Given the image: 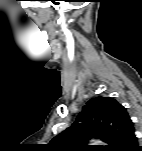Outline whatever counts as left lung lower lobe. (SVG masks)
Listing matches in <instances>:
<instances>
[{
    "label": "left lung lower lobe",
    "instance_id": "left-lung-lower-lobe-1",
    "mask_svg": "<svg viewBox=\"0 0 142 151\" xmlns=\"http://www.w3.org/2000/svg\"><path fill=\"white\" fill-rule=\"evenodd\" d=\"M114 151H142V147L137 145L134 128L120 140Z\"/></svg>",
    "mask_w": 142,
    "mask_h": 151
}]
</instances>
